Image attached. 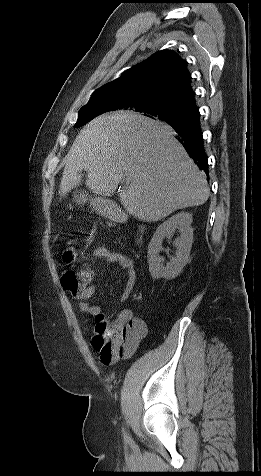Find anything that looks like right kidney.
Here are the masks:
<instances>
[{"label":"right kidney","instance_id":"ca27d5eb","mask_svg":"<svg viewBox=\"0 0 261 476\" xmlns=\"http://www.w3.org/2000/svg\"><path fill=\"white\" fill-rule=\"evenodd\" d=\"M192 214L180 212L159 225L148 245L149 272L152 278L174 279L187 264L193 242V229L191 228ZM176 229L181 235L175 239L176 255L165 266L159 256L164 238H171Z\"/></svg>","mask_w":261,"mask_h":476}]
</instances>
